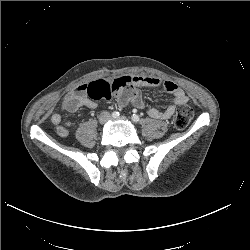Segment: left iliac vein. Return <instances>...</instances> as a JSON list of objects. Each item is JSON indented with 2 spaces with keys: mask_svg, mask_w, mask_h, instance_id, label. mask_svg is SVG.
<instances>
[{
  "mask_svg": "<svg viewBox=\"0 0 250 250\" xmlns=\"http://www.w3.org/2000/svg\"><path fill=\"white\" fill-rule=\"evenodd\" d=\"M114 120L126 121L127 118L125 116H120V117L114 118Z\"/></svg>",
  "mask_w": 250,
  "mask_h": 250,
  "instance_id": "4c4485c4",
  "label": "left iliac vein"
}]
</instances>
